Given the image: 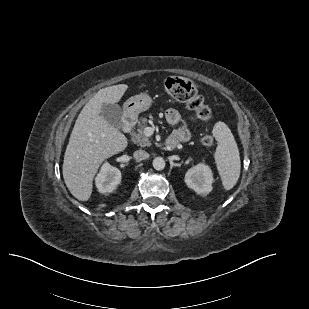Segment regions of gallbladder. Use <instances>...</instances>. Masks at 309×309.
Segmentation results:
<instances>
[{
	"label": "gallbladder",
	"mask_w": 309,
	"mask_h": 309,
	"mask_svg": "<svg viewBox=\"0 0 309 309\" xmlns=\"http://www.w3.org/2000/svg\"><path fill=\"white\" fill-rule=\"evenodd\" d=\"M101 116L113 127L120 129L122 123V109L118 104H103L101 108Z\"/></svg>",
	"instance_id": "gallbladder-1"
}]
</instances>
